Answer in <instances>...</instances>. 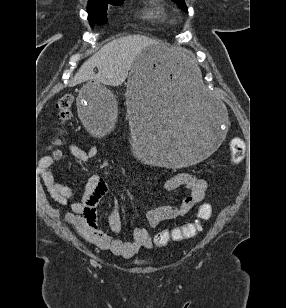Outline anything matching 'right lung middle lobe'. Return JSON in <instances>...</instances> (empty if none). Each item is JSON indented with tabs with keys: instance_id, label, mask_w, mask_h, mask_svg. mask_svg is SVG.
<instances>
[{
	"instance_id": "1",
	"label": "right lung middle lobe",
	"mask_w": 286,
	"mask_h": 308,
	"mask_svg": "<svg viewBox=\"0 0 286 308\" xmlns=\"http://www.w3.org/2000/svg\"><path fill=\"white\" fill-rule=\"evenodd\" d=\"M123 3V0H108L103 2H96V3H88V20L90 25L93 26L94 23L102 24L107 21V8L108 4L111 5H120Z\"/></svg>"
}]
</instances>
